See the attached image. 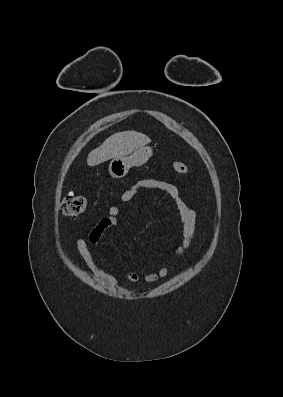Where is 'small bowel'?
<instances>
[{
  "mask_svg": "<svg viewBox=\"0 0 283 397\" xmlns=\"http://www.w3.org/2000/svg\"><path fill=\"white\" fill-rule=\"evenodd\" d=\"M158 189L167 192L175 201L180 215V223L182 225V243L176 249V255L182 256L190 248L195 234L196 211L189 204L185 203L179 194L175 185L170 182L157 179H143L130 186L121 196L122 203H127L135 198L141 189ZM120 208L118 206H111L108 210V215L101 218L89 233L88 241L83 238H77L75 241L77 251L89 267L90 271L102 281L111 286H117L116 278L105 272L101 266L95 261L88 244L97 245L105 231L113 228L118 223V216L120 215ZM169 274L167 267H160L156 272L148 273L143 276V281L146 283H156ZM125 279L130 283H137L141 277L135 272H127Z\"/></svg>",
  "mask_w": 283,
  "mask_h": 397,
  "instance_id": "small-bowel-1",
  "label": "small bowel"
}]
</instances>
